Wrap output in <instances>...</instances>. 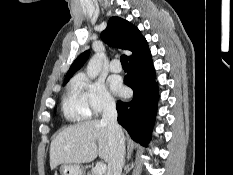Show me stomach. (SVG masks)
Listing matches in <instances>:
<instances>
[{
  "label": "stomach",
  "mask_w": 233,
  "mask_h": 175,
  "mask_svg": "<svg viewBox=\"0 0 233 175\" xmlns=\"http://www.w3.org/2000/svg\"><path fill=\"white\" fill-rule=\"evenodd\" d=\"M59 170L61 175H84V168L79 164H62Z\"/></svg>",
  "instance_id": "1"
}]
</instances>
